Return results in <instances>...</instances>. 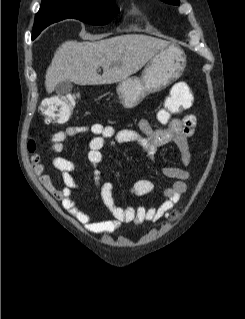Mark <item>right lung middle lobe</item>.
<instances>
[{"mask_svg": "<svg viewBox=\"0 0 245 319\" xmlns=\"http://www.w3.org/2000/svg\"><path fill=\"white\" fill-rule=\"evenodd\" d=\"M49 4L53 7L52 16L58 21L75 18L94 25L109 23L111 17L119 11L114 0H59ZM34 24V27L44 28L39 27L36 22Z\"/></svg>", "mask_w": 245, "mask_h": 319, "instance_id": "right-lung-middle-lobe-1", "label": "right lung middle lobe"}]
</instances>
